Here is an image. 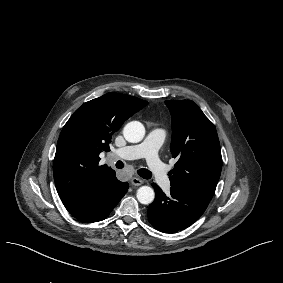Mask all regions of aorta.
<instances>
[{
	"label": "aorta",
	"instance_id": "aorta-1",
	"mask_svg": "<svg viewBox=\"0 0 283 283\" xmlns=\"http://www.w3.org/2000/svg\"><path fill=\"white\" fill-rule=\"evenodd\" d=\"M124 138L130 143H138L145 136V128L138 121H131L123 129ZM137 199L141 204H151L155 198L154 190L149 186H141L137 190Z\"/></svg>",
	"mask_w": 283,
	"mask_h": 283
}]
</instances>
